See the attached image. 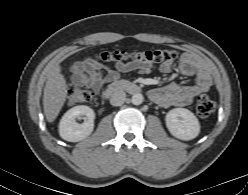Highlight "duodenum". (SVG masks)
<instances>
[{
	"label": "duodenum",
	"mask_w": 248,
	"mask_h": 195,
	"mask_svg": "<svg viewBox=\"0 0 248 195\" xmlns=\"http://www.w3.org/2000/svg\"><path fill=\"white\" fill-rule=\"evenodd\" d=\"M119 91H127L131 94H139L141 88L139 85L125 80H115L111 82L103 91L104 98H110Z\"/></svg>",
	"instance_id": "1"
}]
</instances>
